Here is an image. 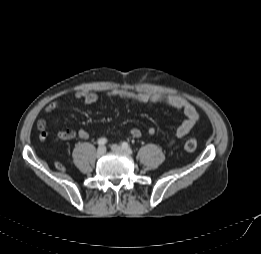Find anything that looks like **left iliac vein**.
<instances>
[{"label":"left iliac vein","mask_w":261,"mask_h":254,"mask_svg":"<svg viewBox=\"0 0 261 254\" xmlns=\"http://www.w3.org/2000/svg\"><path fill=\"white\" fill-rule=\"evenodd\" d=\"M111 148H112L113 151H122V152H125L128 155L132 154V150L131 149H129V148L125 149V148H123V147H121V146H119L117 144H113L111 146Z\"/></svg>","instance_id":"left-iliac-vein-1"}]
</instances>
